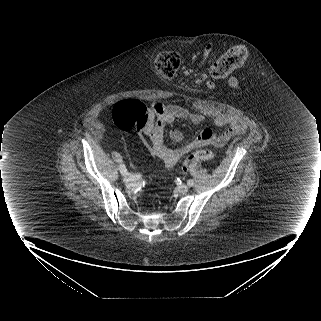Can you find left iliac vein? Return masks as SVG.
<instances>
[{
  "label": "left iliac vein",
  "instance_id": "4c4485c4",
  "mask_svg": "<svg viewBox=\"0 0 321 321\" xmlns=\"http://www.w3.org/2000/svg\"><path fill=\"white\" fill-rule=\"evenodd\" d=\"M177 190L181 194H186L188 192V190H189V187L187 185H185V184H181V185H179L177 187Z\"/></svg>",
  "mask_w": 321,
  "mask_h": 321
}]
</instances>
